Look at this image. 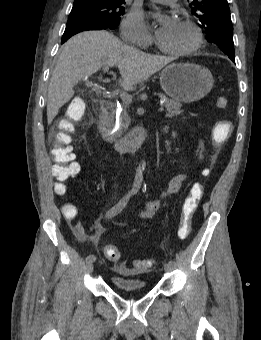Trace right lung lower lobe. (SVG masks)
<instances>
[{
	"label": "right lung lower lobe",
	"instance_id": "obj_1",
	"mask_svg": "<svg viewBox=\"0 0 261 340\" xmlns=\"http://www.w3.org/2000/svg\"><path fill=\"white\" fill-rule=\"evenodd\" d=\"M107 27L99 24L98 22L85 18V17H75L68 19L66 29L61 39V43L67 41L71 36L81 31L87 30H101Z\"/></svg>",
	"mask_w": 261,
	"mask_h": 340
}]
</instances>
